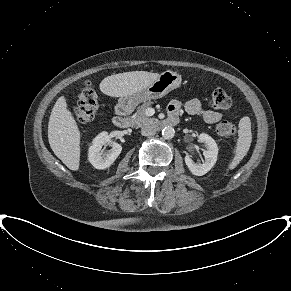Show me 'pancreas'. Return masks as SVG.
<instances>
[{"instance_id":"1","label":"pancreas","mask_w":291,"mask_h":291,"mask_svg":"<svg viewBox=\"0 0 291 291\" xmlns=\"http://www.w3.org/2000/svg\"><path fill=\"white\" fill-rule=\"evenodd\" d=\"M153 104L151 101L144 102L141 106L138 107L136 113L129 118L131 127H141L149 125L155 121L154 118H149L145 114V110Z\"/></svg>"}]
</instances>
